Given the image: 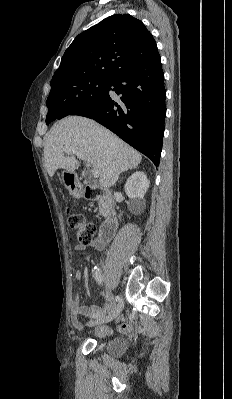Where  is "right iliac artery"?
<instances>
[{
	"label": "right iliac artery",
	"instance_id": "82829eb1",
	"mask_svg": "<svg viewBox=\"0 0 232 399\" xmlns=\"http://www.w3.org/2000/svg\"><path fill=\"white\" fill-rule=\"evenodd\" d=\"M92 275H93L94 279L96 280V282H98L99 284L102 283V270H101L100 266H98V265L93 266ZM115 300L117 302H119L120 301V296L116 295L115 296Z\"/></svg>",
	"mask_w": 232,
	"mask_h": 399
}]
</instances>
